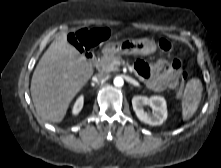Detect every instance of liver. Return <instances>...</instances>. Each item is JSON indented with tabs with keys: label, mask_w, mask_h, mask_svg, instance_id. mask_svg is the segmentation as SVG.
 Listing matches in <instances>:
<instances>
[{
	"label": "liver",
	"mask_w": 221,
	"mask_h": 168,
	"mask_svg": "<svg viewBox=\"0 0 221 168\" xmlns=\"http://www.w3.org/2000/svg\"><path fill=\"white\" fill-rule=\"evenodd\" d=\"M93 70L67 41L63 32L50 44L37 64L31 80V96L42 119L60 123L67 109Z\"/></svg>",
	"instance_id": "liver-1"
}]
</instances>
